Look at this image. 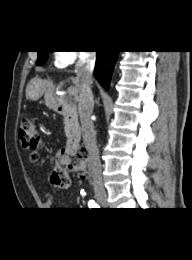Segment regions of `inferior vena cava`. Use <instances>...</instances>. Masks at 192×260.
I'll use <instances>...</instances> for the list:
<instances>
[{"mask_svg":"<svg viewBox=\"0 0 192 260\" xmlns=\"http://www.w3.org/2000/svg\"><path fill=\"white\" fill-rule=\"evenodd\" d=\"M95 60L96 53L94 51H86L77 62L75 69L79 80V116L82 126L83 140L90 153V167L92 170L93 185L95 188H101L103 186L101 162L96 142V132L91 119L94 100L90 84L92 81Z\"/></svg>","mask_w":192,"mask_h":260,"instance_id":"obj_1","label":"inferior vena cava"}]
</instances>
